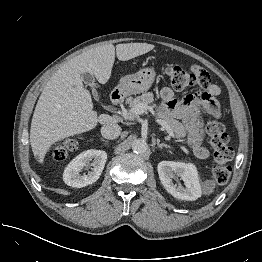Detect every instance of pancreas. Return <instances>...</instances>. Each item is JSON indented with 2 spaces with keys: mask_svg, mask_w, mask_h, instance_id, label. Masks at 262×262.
Masks as SVG:
<instances>
[{
  "mask_svg": "<svg viewBox=\"0 0 262 262\" xmlns=\"http://www.w3.org/2000/svg\"><path fill=\"white\" fill-rule=\"evenodd\" d=\"M154 101V95L151 92L143 93L141 96L136 97L133 100H129L128 104L130 106V109L133 108L135 105L143 103L146 106L153 103ZM153 107L157 108V106L154 104ZM157 115L161 120L165 121L169 128L172 130V132L175 134L177 138H183L186 135V130L183 126V124L174 118H172L168 113L166 112H160L157 111ZM138 117V114L129 112L128 118L135 119ZM199 151V146L194 145L193 146V152L196 154Z\"/></svg>",
  "mask_w": 262,
  "mask_h": 262,
  "instance_id": "cf45deb5",
  "label": "pancreas"
}]
</instances>
